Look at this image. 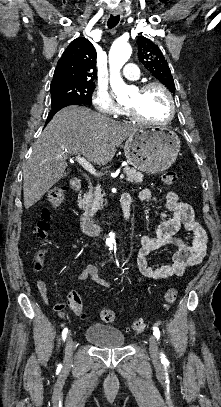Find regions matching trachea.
I'll return each instance as SVG.
<instances>
[{
  "label": "trachea",
  "mask_w": 221,
  "mask_h": 407,
  "mask_svg": "<svg viewBox=\"0 0 221 407\" xmlns=\"http://www.w3.org/2000/svg\"><path fill=\"white\" fill-rule=\"evenodd\" d=\"M119 21H120V15H116V16L111 15L107 22L108 28L111 29V28L115 27L119 23Z\"/></svg>",
  "instance_id": "1"
}]
</instances>
